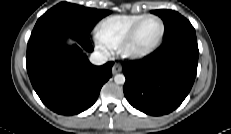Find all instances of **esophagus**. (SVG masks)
<instances>
[{
    "mask_svg": "<svg viewBox=\"0 0 231 134\" xmlns=\"http://www.w3.org/2000/svg\"><path fill=\"white\" fill-rule=\"evenodd\" d=\"M122 70V66L119 63H115L112 67V73L113 74H117L119 72H121Z\"/></svg>",
    "mask_w": 231,
    "mask_h": 134,
    "instance_id": "obj_1",
    "label": "esophagus"
}]
</instances>
